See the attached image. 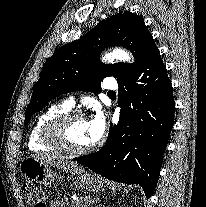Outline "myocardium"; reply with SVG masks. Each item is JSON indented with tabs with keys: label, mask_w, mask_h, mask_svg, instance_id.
<instances>
[{
	"label": "myocardium",
	"mask_w": 206,
	"mask_h": 207,
	"mask_svg": "<svg viewBox=\"0 0 206 207\" xmlns=\"http://www.w3.org/2000/svg\"><path fill=\"white\" fill-rule=\"evenodd\" d=\"M75 120L87 121V118L85 114L71 110L60 113L51 118L42 128L43 142L54 150L69 157H80L92 152L94 149L93 144L83 149L74 150L64 143L61 130L65 125Z\"/></svg>",
	"instance_id": "obj_1"
}]
</instances>
